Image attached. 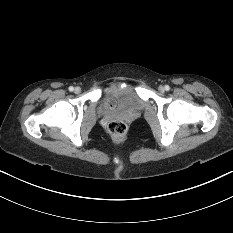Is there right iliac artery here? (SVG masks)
<instances>
[{
    "label": "right iliac artery",
    "mask_w": 233,
    "mask_h": 233,
    "mask_svg": "<svg viewBox=\"0 0 233 233\" xmlns=\"http://www.w3.org/2000/svg\"><path fill=\"white\" fill-rule=\"evenodd\" d=\"M74 90V87L73 86H70L69 87V91L72 92Z\"/></svg>",
    "instance_id": "right-iliac-artery-1"
}]
</instances>
